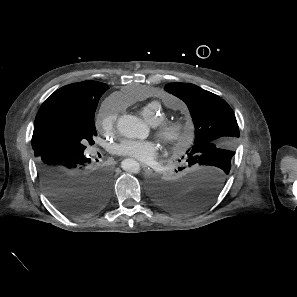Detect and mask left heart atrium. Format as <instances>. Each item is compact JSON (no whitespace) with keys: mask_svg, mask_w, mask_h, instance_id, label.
I'll return each instance as SVG.
<instances>
[{"mask_svg":"<svg viewBox=\"0 0 297 297\" xmlns=\"http://www.w3.org/2000/svg\"><path fill=\"white\" fill-rule=\"evenodd\" d=\"M159 145L153 140H122L116 146L119 155L133 158L142 163H150L158 156Z\"/></svg>","mask_w":297,"mask_h":297,"instance_id":"left-heart-atrium-1","label":"left heart atrium"}]
</instances>
